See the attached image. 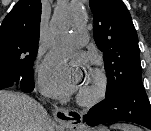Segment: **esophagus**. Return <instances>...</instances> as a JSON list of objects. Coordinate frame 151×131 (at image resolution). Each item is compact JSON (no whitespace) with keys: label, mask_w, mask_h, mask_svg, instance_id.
<instances>
[{"label":"esophagus","mask_w":151,"mask_h":131,"mask_svg":"<svg viewBox=\"0 0 151 131\" xmlns=\"http://www.w3.org/2000/svg\"><path fill=\"white\" fill-rule=\"evenodd\" d=\"M56 120L69 129H77L82 122V115L76 110L57 108L54 111Z\"/></svg>","instance_id":"esophagus-1"}]
</instances>
